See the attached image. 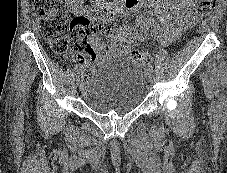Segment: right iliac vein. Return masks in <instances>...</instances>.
I'll return each mask as SVG.
<instances>
[{"label":"right iliac vein","instance_id":"1","mask_svg":"<svg viewBox=\"0 0 227 173\" xmlns=\"http://www.w3.org/2000/svg\"><path fill=\"white\" fill-rule=\"evenodd\" d=\"M80 82V74L77 73L76 77H75V84L78 85Z\"/></svg>","mask_w":227,"mask_h":173}]
</instances>
